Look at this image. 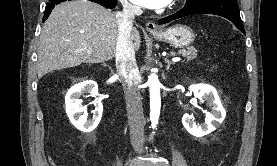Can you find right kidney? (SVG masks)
Returning <instances> with one entry per match:
<instances>
[{"label": "right kidney", "instance_id": "1", "mask_svg": "<svg viewBox=\"0 0 277 166\" xmlns=\"http://www.w3.org/2000/svg\"><path fill=\"white\" fill-rule=\"evenodd\" d=\"M84 94H90L88 96L96 97L98 95V87L94 81H85L74 85L69 89L65 96L66 113L71 123L80 131L91 132L99 124L103 105L100 99H95L93 104L95 109L93 110L92 119L88 120L85 115H80L85 112L86 107L82 105V99L80 97Z\"/></svg>", "mask_w": 277, "mask_h": 166}]
</instances>
